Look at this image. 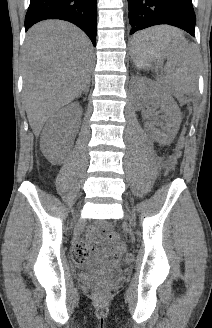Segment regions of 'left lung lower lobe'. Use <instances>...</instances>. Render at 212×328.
<instances>
[{
	"label": "left lung lower lobe",
	"mask_w": 212,
	"mask_h": 328,
	"mask_svg": "<svg viewBox=\"0 0 212 328\" xmlns=\"http://www.w3.org/2000/svg\"><path fill=\"white\" fill-rule=\"evenodd\" d=\"M130 34L144 28L168 24L179 27L195 37V13L191 0H128ZM133 39L134 49L140 46Z\"/></svg>",
	"instance_id": "left-lung-lower-lobe-1"
}]
</instances>
